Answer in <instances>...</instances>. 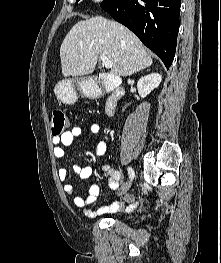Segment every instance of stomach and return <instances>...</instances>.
<instances>
[{
  "label": "stomach",
  "instance_id": "1",
  "mask_svg": "<svg viewBox=\"0 0 221 263\" xmlns=\"http://www.w3.org/2000/svg\"><path fill=\"white\" fill-rule=\"evenodd\" d=\"M87 82L81 79H64L53 88L54 94L65 104H73L77 100V92H86Z\"/></svg>",
  "mask_w": 221,
  "mask_h": 263
}]
</instances>
